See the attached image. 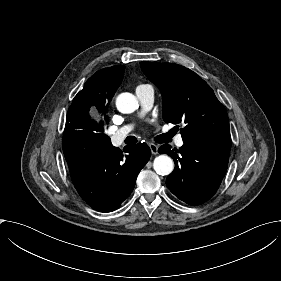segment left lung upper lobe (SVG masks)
<instances>
[{
	"instance_id": "left-lung-upper-lobe-1",
	"label": "left lung upper lobe",
	"mask_w": 281,
	"mask_h": 281,
	"mask_svg": "<svg viewBox=\"0 0 281 281\" xmlns=\"http://www.w3.org/2000/svg\"><path fill=\"white\" fill-rule=\"evenodd\" d=\"M141 68L161 91L164 121L185 123L183 142H230L226 110L196 73L174 63L145 61Z\"/></svg>"
}]
</instances>
